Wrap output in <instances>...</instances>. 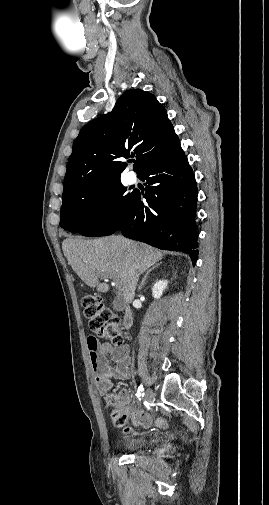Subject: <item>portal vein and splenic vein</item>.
Segmentation results:
<instances>
[{
  "instance_id": "portal-vein-and-splenic-vein-1",
  "label": "portal vein and splenic vein",
  "mask_w": 269,
  "mask_h": 505,
  "mask_svg": "<svg viewBox=\"0 0 269 505\" xmlns=\"http://www.w3.org/2000/svg\"><path fill=\"white\" fill-rule=\"evenodd\" d=\"M100 277H101L102 279H104L105 281H108V278H109L108 276H104V275H102V276H100ZM113 285L115 286V288H116V289L121 290L120 284H117V283L114 281Z\"/></svg>"
}]
</instances>
